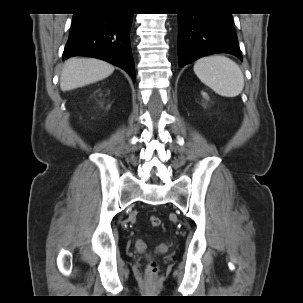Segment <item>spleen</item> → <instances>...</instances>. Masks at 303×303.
Instances as JSON below:
<instances>
[{"mask_svg": "<svg viewBox=\"0 0 303 303\" xmlns=\"http://www.w3.org/2000/svg\"><path fill=\"white\" fill-rule=\"evenodd\" d=\"M194 72L205 85L223 97H236L244 88V76L239 66L231 59L213 55L199 59Z\"/></svg>", "mask_w": 303, "mask_h": 303, "instance_id": "obj_1", "label": "spleen"}]
</instances>
